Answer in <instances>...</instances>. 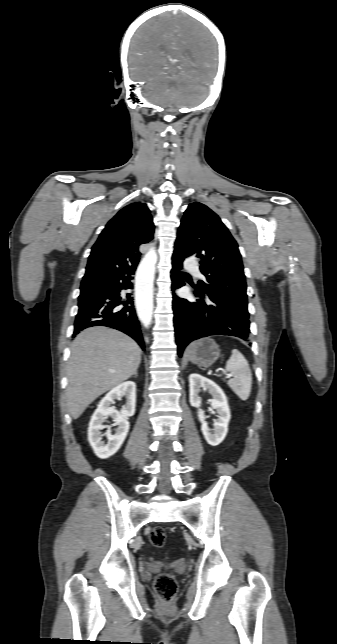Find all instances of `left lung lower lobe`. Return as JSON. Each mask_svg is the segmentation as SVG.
Returning a JSON list of instances; mask_svg holds the SVG:
<instances>
[{
    "instance_id": "1",
    "label": "left lung lower lobe",
    "mask_w": 337,
    "mask_h": 644,
    "mask_svg": "<svg viewBox=\"0 0 337 644\" xmlns=\"http://www.w3.org/2000/svg\"><path fill=\"white\" fill-rule=\"evenodd\" d=\"M172 264V289L175 290L184 285L178 272L182 261L173 258ZM195 295L197 300L193 303L174 295V327L180 357L190 342L210 335L235 336L250 341L249 318L217 296L197 291Z\"/></svg>"
}]
</instances>
